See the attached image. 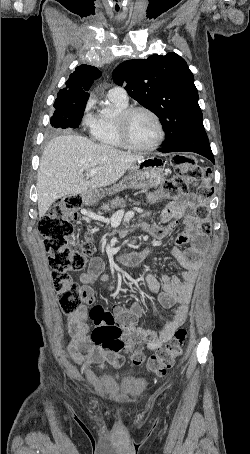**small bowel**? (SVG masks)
<instances>
[{"instance_id":"obj_1","label":"small bowel","mask_w":250,"mask_h":454,"mask_svg":"<svg viewBox=\"0 0 250 454\" xmlns=\"http://www.w3.org/2000/svg\"><path fill=\"white\" fill-rule=\"evenodd\" d=\"M193 205V195L184 194L164 208L161 214V225L143 224V229L151 233L157 240L165 237L180 219H184L185 226V231L177 236V246L169 250L171 256L183 268L182 278L162 274L160 283L154 275L148 274L146 276L147 285L157 295L159 303L163 307L173 310L172 319L156 333L139 330L148 350L160 349L164 343L172 338L187 318L188 303L202 264V257L208 245L207 236L199 230L198 221L192 214ZM187 243L189 245L184 250L178 247ZM150 250L151 247L149 246L142 252L133 254L131 261L141 260ZM104 270L103 261L98 257H93L89 262L88 269L80 275V296L83 306L68 317L65 329L66 335L71 337L66 348L69 358L78 365H96L99 369L104 368L105 363L114 367H120L123 363V357L120 354L108 351L91 340L90 327L86 323L88 317L86 307L95 303L92 285L98 279L104 282L108 279ZM110 289L112 290L113 286ZM142 313L143 308L139 302L133 303L128 309L114 308L116 317L129 314L137 320Z\"/></svg>"}]
</instances>
